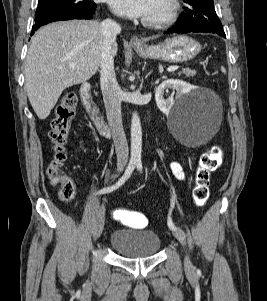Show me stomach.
Returning <instances> with one entry per match:
<instances>
[{
  "label": "stomach",
  "mask_w": 267,
  "mask_h": 301,
  "mask_svg": "<svg viewBox=\"0 0 267 301\" xmlns=\"http://www.w3.org/2000/svg\"><path fill=\"white\" fill-rule=\"evenodd\" d=\"M134 50L142 57L180 63L196 57L201 51V45L188 36L178 35L167 38L159 45L134 46Z\"/></svg>",
  "instance_id": "obj_1"
}]
</instances>
